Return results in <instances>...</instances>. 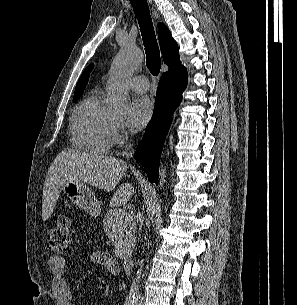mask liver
Instances as JSON below:
<instances>
[{"instance_id": "6515ba94", "label": "liver", "mask_w": 297, "mask_h": 305, "mask_svg": "<svg viewBox=\"0 0 297 305\" xmlns=\"http://www.w3.org/2000/svg\"><path fill=\"white\" fill-rule=\"evenodd\" d=\"M127 169L123 160L76 150L60 152L52 162L44 182L42 219L46 221L55 208L62 186L68 182L88 183L110 192L115 189ZM130 183L122 184L110 201L111 206L125 204L134 194Z\"/></svg>"}]
</instances>
